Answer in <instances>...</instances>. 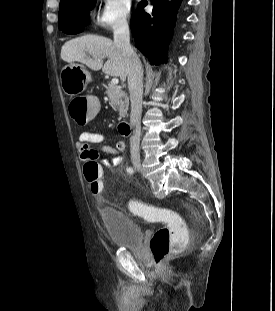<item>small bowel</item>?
Masks as SVG:
<instances>
[{
	"instance_id": "c3829d8e",
	"label": "small bowel",
	"mask_w": 275,
	"mask_h": 311,
	"mask_svg": "<svg viewBox=\"0 0 275 311\" xmlns=\"http://www.w3.org/2000/svg\"><path fill=\"white\" fill-rule=\"evenodd\" d=\"M104 139V135L98 132L83 131L79 134L78 140L76 142V148L79 151L81 161H83L85 165L92 160H97L101 152L112 155L110 159L101 160V163L104 166L115 167L122 164L123 158L121 154L125 150V142L123 140H118L115 146L112 147L103 144ZM90 144H101V147L100 149H90Z\"/></svg>"
}]
</instances>
